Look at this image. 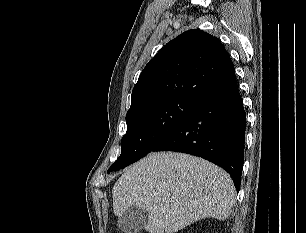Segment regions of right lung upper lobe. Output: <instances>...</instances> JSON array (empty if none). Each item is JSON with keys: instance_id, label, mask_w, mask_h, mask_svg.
Masks as SVG:
<instances>
[{"instance_id": "obj_1", "label": "right lung upper lobe", "mask_w": 306, "mask_h": 233, "mask_svg": "<svg viewBox=\"0 0 306 233\" xmlns=\"http://www.w3.org/2000/svg\"><path fill=\"white\" fill-rule=\"evenodd\" d=\"M236 85L234 65L221 41L192 29L168 42L146 65L128 112L174 97L203 104Z\"/></svg>"}]
</instances>
